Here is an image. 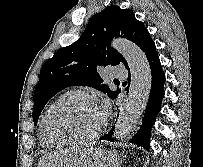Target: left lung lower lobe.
Here are the masks:
<instances>
[{"instance_id":"1","label":"left lung lower lobe","mask_w":203,"mask_h":167,"mask_svg":"<svg viewBox=\"0 0 203 167\" xmlns=\"http://www.w3.org/2000/svg\"><path fill=\"white\" fill-rule=\"evenodd\" d=\"M142 50L145 53L150 65L152 85L143 123L139 131L130 141L149 150L150 131L154 124L155 117L161 109V102L164 97L165 75L161 68L154 41L150 40ZM113 129L114 127L110 130V132L102 136L100 139L113 141Z\"/></svg>"}]
</instances>
